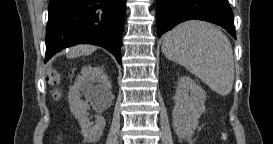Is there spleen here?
<instances>
[{"instance_id":"spleen-1","label":"spleen","mask_w":273,"mask_h":144,"mask_svg":"<svg viewBox=\"0 0 273 144\" xmlns=\"http://www.w3.org/2000/svg\"><path fill=\"white\" fill-rule=\"evenodd\" d=\"M162 52L217 94L231 92L235 74L232 46L213 24L196 20L181 23L165 34Z\"/></svg>"}]
</instances>
